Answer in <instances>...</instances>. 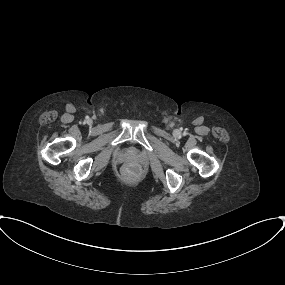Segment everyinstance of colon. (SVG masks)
<instances>
[{
    "label": "colon",
    "instance_id": "colon-1",
    "mask_svg": "<svg viewBox=\"0 0 285 285\" xmlns=\"http://www.w3.org/2000/svg\"><path fill=\"white\" fill-rule=\"evenodd\" d=\"M137 170L135 165L129 164L124 167V171L127 173H135Z\"/></svg>",
    "mask_w": 285,
    "mask_h": 285
}]
</instances>
